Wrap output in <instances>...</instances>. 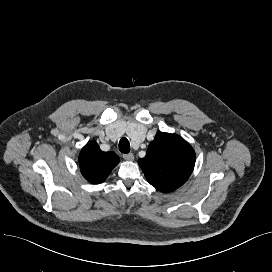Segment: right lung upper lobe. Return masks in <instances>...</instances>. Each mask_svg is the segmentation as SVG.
<instances>
[{
  "mask_svg": "<svg viewBox=\"0 0 272 272\" xmlns=\"http://www.w3.org/2000/svg\"><path fill=\"white\" fill-rule=\"evenodd\" d=\"M119 161L114 152H103L95 141L84 146L79 155L81 173L92 184L103 182Z\"/></svg>",
  "mask_w": 272,
  "mask_h": 272,
  "instance_id": "cb5924a9",
  "label": "right lung upper lobe"
}]
</instances>
